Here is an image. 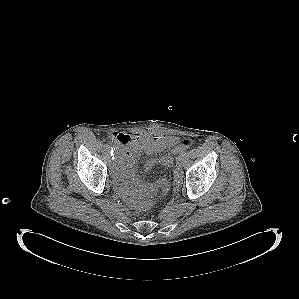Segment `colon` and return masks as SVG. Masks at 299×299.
I'll list each match as a JSON object with an SVG mask.
<instances>
[{
    "label": "colon",
    "instance_id": "obj_1",
    "mask_svg": "<svg viewBox=\"0 0 299 299\" xmlns=\"http://www.w3.org/2000/svg\"><path fill=\"white\" fill-rule=\"evenodd\" d=\"M192 139H186L182 142L183 147H189L192 144ZM183 186V173L180 169V166L176 162V166L173 169V190L174 192H179Z\"/></svg>",
    "mask_w": 299,
    "mask_h": 299
}]
</instances>
